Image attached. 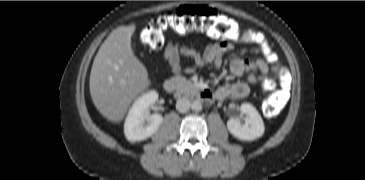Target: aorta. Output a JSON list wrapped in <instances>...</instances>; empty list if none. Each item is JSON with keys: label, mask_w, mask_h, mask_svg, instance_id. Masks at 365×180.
<instances>
[{"label": "aorta", "mask_w": 365, "mask_h": 180, "mask_svg": "<svg viewBox=\"0 0 365 180\" xmlns=\"http://www.w3.org/2000/svg\"><path fill=\"white\" fill-rule=\"evenodd\" d=\"M191 109L193 111H197V112L198 111H201V109H202V103L200 101H198V100L193 101L192 104H191Z\"/></svg>", "instance_id": "762f6f07"}]
</instances>
